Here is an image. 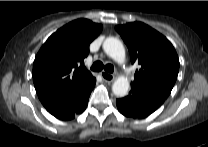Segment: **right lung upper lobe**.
Returning a JSON list of instances; mask_svg holds the SVG:
<instances>
[{"label": "right lung upper lobe", "mask_w": 208, "mask_h": 147, "mask_svg": "<svg viewBox=\"0 0 208 147\" xmlns=\"http://www.w3.org/2000/svg\"><path fill=\"white\" fill-rule=\"evenodd\" d=\"M102 25L78 19L53 33L37 53L33 81L44 107L67 100L95 78L83 66Z\"/></svg>", "instance_id": "cb5924a9"}]
</instances>
